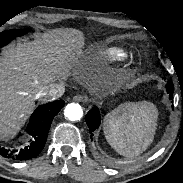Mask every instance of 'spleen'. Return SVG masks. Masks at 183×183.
<instances>
[{
    "label": "spleen",
    "instance_id": "1",
    "mask_svg": "<svg viewBox=\"0 0 183 183\" xmlns=\"http://www.w3.org/2000/svg\"><path fill=\"white\" fill-rule=\"evenodd\" d=\"M156 126V107L147 101L124 104L104 119L108 143L126 157L140 154L152 143Z\"/></svg>",
    "mask_w": 183,
    "mask_h": 183
}]
</instances>
